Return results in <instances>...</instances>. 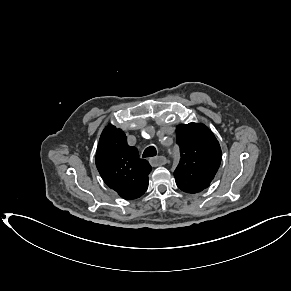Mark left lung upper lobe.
Returning <instances> with one entry per match:
<instances>
[{"label":"left lung upper lobe","mask_w":291,"mask_h":291,"mask_svg":"<svg viewBox=\"0 0 291 291\" xmlns=\"http://www.w3.org/2000/svg\"><path fill=\"white\" fill-rule=\"evenodd\" d=\"M180 162L174 171L178 188L187 193L201 192L213 180L221 162L219 142L212 131L201 123L176 127Z\"/></svg>","instance_id":"5c2ea615"}]
</instances>
